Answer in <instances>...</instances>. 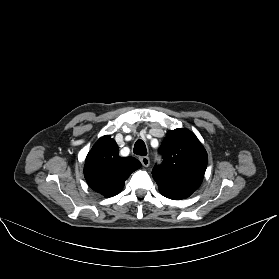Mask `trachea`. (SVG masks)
Segmentation results:
<instances>
[{"mask_svg": "<svg viewBox=\"0 0 279 279\" xmlns=\"http://www.w3.org/2000/svg\"><path fill=\"white\" fill-rule=\"evenodd\" d=\"M133 152L136 155H141V156L147 155V149H146L145 143L140 139L137 140L135 145H134Z\"/></svg>", "mask_w": 279, "mask_h": 279, "instance_id": "obj_1", "label": "trachea"}]
</instances>
